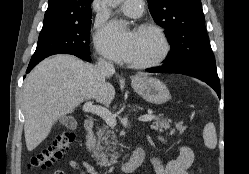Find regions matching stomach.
Returning <instances> with one entry per match:
<instances>
[{"mask_svg": "<svg viewBox=\"0 0 249 174\" xmlns=\"http://www.w3.org/2000/svg\"><path fill=\"white\" fill-rule=\"evenodd\" d=\"M131 85L134 91L150 103L163 104L170 98L169 90L159 79L138 75L132 79Z\"/></svg>", "mask_w": 249, "mask_h": 174, "instance_id": "stomach-1", "label": "stomach"}]
</instances>
